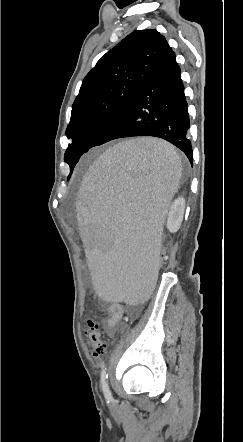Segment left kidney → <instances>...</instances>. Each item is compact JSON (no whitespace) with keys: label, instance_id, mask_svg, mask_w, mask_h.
Returning <instances> with one entry per match:
<instances>
[{"label":"left kidney","instance_id":"5707ae66","mask_svg":"<svg viewBox=\"0 0 243 442\" xmlns=\"http://www.w3.org/2000/svg\"><path fill=\"white\" fill-rule=\"evenodd\" d=\"M185 211V200L182 197H178L171 204L170 214L167 216V229L171 233H175L179 230L183 221Z\"/></svg>","mask_w":243,"mask_h":442}]
</instances>
